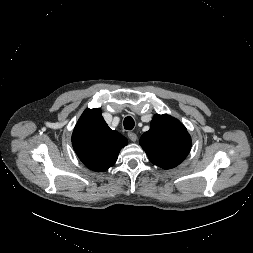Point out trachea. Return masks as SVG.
<instances>
[{
	"instance_id": "obj_1",
	"label": "trachea",
	"mask_w": 253,
	"mask_h": 253,
	"mask_svg": "<svg viewBox=\"0 0 253 253\" xmlns=\"http://www.w3.org/2000/svg\"><path fill=\"white\" fill-rule=\"evenodd\" d=\"M135 122L131 116H127L124 119V128L126 130H132L134 128Z\"/></svg>"
}]
</instances>
